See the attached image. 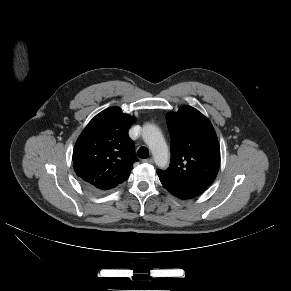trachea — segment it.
Here are the masks:
<instances>
[{"label":"trachea","mask_w":291,"mask_h":291,"mask_svg":"<svg viewBox=\"0 0 291 291\" xmlns=\"http://www.w3.org/2000/svg\"><path fill=\"white\" fill-rule=\"evenodd\" d=\"M137 155L139 158L146 159L149 156V150L146 147L142 146L138 149Z\"/></svg>","instance_id":"trachea-1"}]
</instances>
